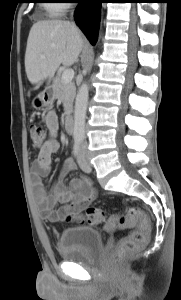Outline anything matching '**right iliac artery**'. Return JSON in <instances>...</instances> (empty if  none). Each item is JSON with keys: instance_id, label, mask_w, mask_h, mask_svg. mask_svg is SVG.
<instances>
[{"instance_id": "82829eb1", "label": "right iliac artery", "mask_w": 181, "mask_h": 300, "mask_svg": "<svg viewBox=\"0 0 181 300\" xmlns=\"http://www.w3.org/2000/svg\"><path fill=\"white\" fill-rule=\"evenodd\" d=\"M80 143H81V141L79 139H76L74 141V146H73V154H74V156H78V154L80 152Z\"/></svg>"}]
</instances>
